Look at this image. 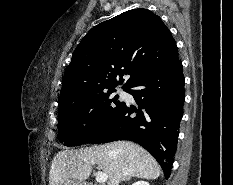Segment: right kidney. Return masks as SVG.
Returning <instances> with one entry per match:
<instances>
[{
  "label": "right kidney",
  "mask_w": 233,
  "mask_h": 185,
  "mask_svg": "<svg viewBox=\"0 0 233 185\" xmlns=\"http://www.w3.org/2000/svg\"><path fill=\"white\" fill-rule=\"evenodd\" d=\"M132 185H150L148 182H146V181H137V182H135V183H133Z\"/></svg>",
  "instance_id": "obj_1"
}]
</instances>
